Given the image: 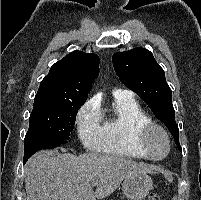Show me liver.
<instances>
[{"label":"liver","instance_id":"6515ba94","mask_svg":"<svg viewBox=\"0 0 201 200\" xmlns=\"http://www.w3.org/2000/svg\"><path fill=\"white\" fill-rule=\"evenodd\" d=\"M147 173H153L148 165L114 155L39 152L25 167L27 200L103 199L126 177ZM92 181L97 182L95 192Z\"/></svg>","mask_w":201,"mask_h":200}]
</instances>
